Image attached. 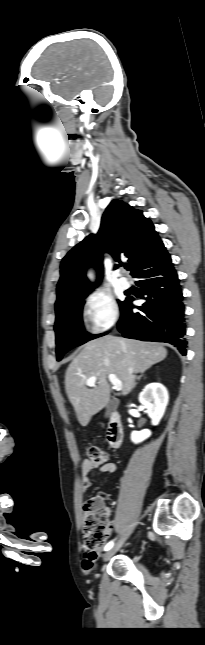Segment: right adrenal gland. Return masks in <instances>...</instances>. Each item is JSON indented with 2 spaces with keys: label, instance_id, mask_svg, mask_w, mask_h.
<instances>
[{
  "label": "right adrenal gland",
  "instance_id": "obj_1",
  "mask_svg": "<svg viewBox=\"0 0 205 645\" xmlns=\"http://www.w3.org/2000/svg\"><path fill=\"white\" fill-rule=\"evenodd\" d=\"M144 374V371L141 372V374L137 377V381H139ZM137 385V382L134 384V387Z\"/></svg>",
  "mask_w": 205,
  "mask_h": 645
}]
</instances>
